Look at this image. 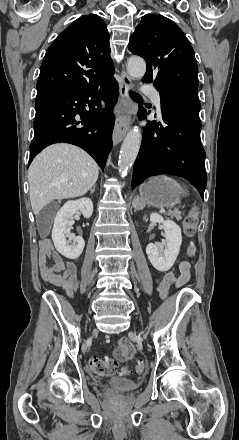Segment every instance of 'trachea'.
<instances>
[{"label":"trachea","instance_id":"obj_1","mask_svg":"<svg viewBox=\"0 0 239 440\" xmlns=\"http://www.w3.org/2000/svg\"><path fill=\"white\" fill-rule=\"evenodd\" d=\"M129 94V92H128ZM131 96L133 97V99L138 100L140 99V96L137 93L131 92Z\"/></svg>","mask_w":239,"mask_h":440}]
</instances>
